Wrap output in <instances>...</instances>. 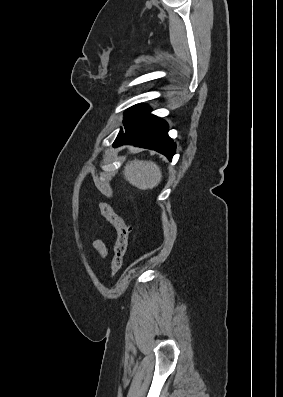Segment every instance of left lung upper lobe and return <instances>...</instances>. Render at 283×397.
<instances>
[{
    "mask_svg": "<svg viewBox=\"0 0 283 397\" xmlns=\"http://www.w3.org/2000/svg\"><path fill=\"white\" fill-rule=\"evenodd\" d=\"M148 111H150V108L144 104L135 105L134 107L128 109L125 112V118L123 121L124 129L127 130L128 128H130L140 117H142ZM123 133L124 131L121 128L118 135H121Z\"/></svg>",
    "mask_w": 283,
    "mask_h": 397,
    "instance_id": "5c2ea615",
    "label": "left lung upper lobe"
}]
</instances>
